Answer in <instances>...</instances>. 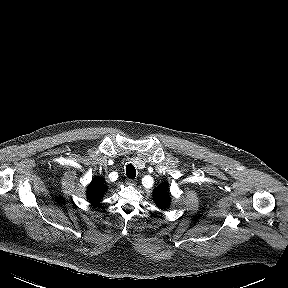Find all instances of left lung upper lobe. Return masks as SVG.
Here are the masks:
<instances>
[{"label":"left lung upper lobe","instance_id":"obj_1","mask_svg":"<svg viewBox=\"0 0 288 288\" xmlns=\"http://www.w3.org/2000/svg\"><path fill=\"white\" fill-rule=\"evenodd\" d=\"M167 188V183H165L153 190V198L160 208H166L170 202Z\"/></svg>","mask_w":288,"mask_h":288}]
</instances>
